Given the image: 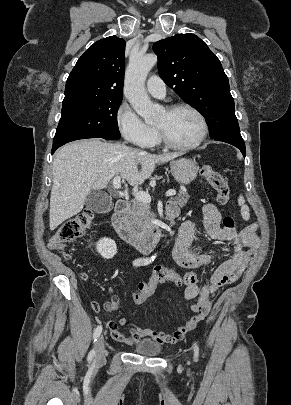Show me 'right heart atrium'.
Instances as JSON below:
<instances>
[{"instance_id": "obj_1", "label": "right heart atrium", "mask_w": 291, "mask_h": 405, "mask_svg": "<svg viewBox=\"0 0 291 405\" xmlns=\"http://www.w3.org/2000/svg\"><path fill=\"white\" fill-rule=\"evenodd\" d=\"M116 123L121 135L140 147H148L156 137V130L143 122L134 110L122 103L116 112Z\"/></svg>"}]
</instances>
